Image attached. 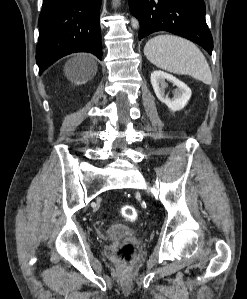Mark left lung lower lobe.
I'll return each mask as SVG.
<instances>
[{"label":"left lung lower lobe","mask_w":247,"mask_h":299,"mask_svg":"<svg viewBox=\"0 0 247 299\" xmlns=\"http://www.w3.org/2000/svg\"><path fill=\"white\" fill-rule=\"evenodd\" d=\"M129 6L140 21L139 39L167 31L197 43L211 54L213 39L205 21L203 0H129Z\"/></svg>","instance_id":"left-lung-lower-lobe-1"}]
</instances>
